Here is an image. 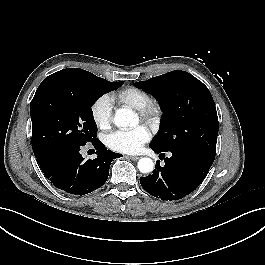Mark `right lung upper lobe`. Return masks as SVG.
<instances>
[{"mask_svg": "<svg viewBox=\"0 0 265 265\" xmlns=\"http://www.w3.org/2000/svg\"><path fill=\"white\" fill-rule=\"evenodd\" d=\"M69 69H73V68H67V69H63V70H69ZM63 70H61V71H63ZM61 71H58V72H61Z\"/></svg>", "mask_w": 265, "mask_h": 265, "instance_id": "1", "label": "right lung upper lobe"}]
</instances>
